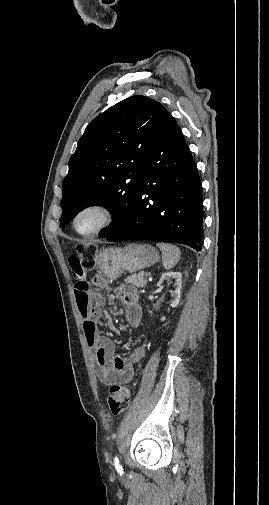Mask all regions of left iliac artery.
Masks as SVG:
<instances>
[{
    "label": "left iliac artery",
    "instance_id": "left-iliac-artery-1",
    "mask_svg": "<svg viewBox=\"0 0 269 505\" xmlns=\"http://www.w3.org/2000/svg\"><path fill=\"white\" fill-rule=\"evenodd\" d=\"M114 464H115V468H116L117 472H119L120 474H122L123 473V468L121 466V463H120L118 457L114 458Z\"/></svg>",
    "mask_w": 269,
    "mask_h": 505
}]
</instances>
